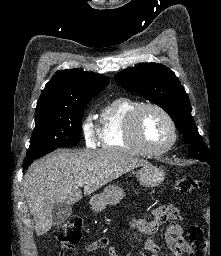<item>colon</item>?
Returning a JSON list of instances; mask_svg holds the SVG:
<instances>
[{
    "label": "colon",
    "mask_w": 221,
    "mask_h": 256,
    "mask_svg": "<svg viewBox=\"0 0 221 256\" xmlns=\"http://www.w3.org/2000/svg\"><path fill=\"white\" fill-rule=\"evenodd\" d=\"M201 187V182L192 176H183L175 183V189L180 194H191ZM56 239L66 248H73L82 237V220L71 217L57 226L54 232ZM189 255L207 256V242L204 231L199 226L189 229Z\"/></svg>",
    "instance_id": "obj_1"
}]
</instances>
